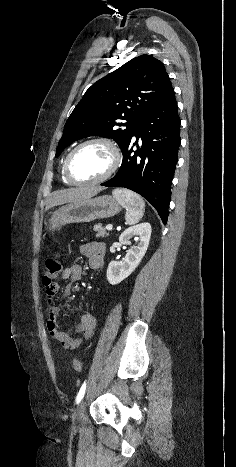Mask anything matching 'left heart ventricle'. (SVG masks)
Segmentation results:
<instances>
[{
  "label": "left heart ventricle",
  "instance_id": "b2bd125f",
  "mask_svg": "<svg viewBox=\"0 0 236 467\" xmlns=\"http://www.w3.org/2000/svg\"><path fill=\"white\" fill-rule=\"evenodd\" d=\"M111 161V153L106 146L92 144L83 147L75 154L71 170L77 180L91 181L104 175Z\"/></svg>",
  "mask_w": 236,
  "mask_h": 467
}]
</instances>
